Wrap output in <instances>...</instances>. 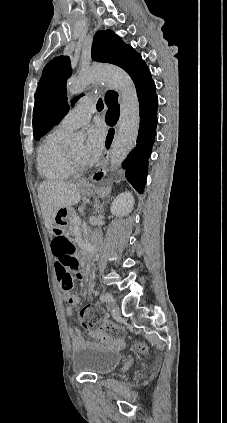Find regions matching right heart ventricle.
<instances>
[{"mask_svg":"<svg viewBox=\"0 0 227 423\" xmlns=\"http://www.w3.org/2000/svg\"><path fill=\"white\" fill-rule=\"evenodd\" d=\"M70 132L58 126L53 128L40 142L37 149V171L47 180H64L71 177L68 150L64 141Z\"/></svg>","mask_w":227,"mask_h":423,"instance_id":"e07e8e85","label":"right heart ventricle"}]
</instances>
